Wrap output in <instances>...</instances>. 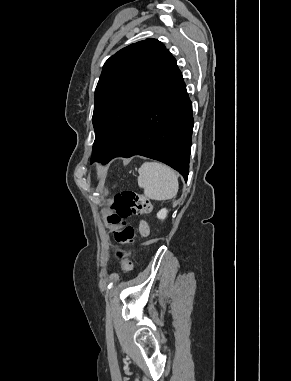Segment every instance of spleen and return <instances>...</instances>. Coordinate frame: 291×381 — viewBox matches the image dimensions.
<instances>
[{
  "mask_svg": "<svg viewBox=\"0 0 291 381\" xmlns=\"http://www.w3.org/2000/svg\"><path fill=\"white\" fill-rule=\"evenodd\" d=\"M138 172V186L147 198L163 201L177 195L178 177L170 167L158 162H144Z\"/></svg>",
  "mask_w": 291,
  "mask_h": 381,
  "instance_id": "spleen-1",
  "label": "spleen"
}]
</instances>
